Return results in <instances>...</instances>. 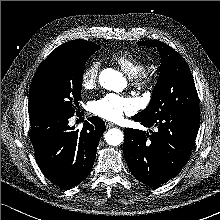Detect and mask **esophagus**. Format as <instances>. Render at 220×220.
<instances>
[{
    "instance_id": "34e87169",
    "label": "esophagus",
    "mask_w": 220,
    "mask_h": 220,
    "mask_svg": "<svg viewBox=\"0 0 220 220\" xmlns=\"http://www.w3.org/2000/svg\"><path fill=\"white\" fill-rule=\"evenodd\" d=\"M105 125H106L107 128H111V127H114V126H115L114 123L109 122V121H105Z\"/></svg>"
}]
</instances>
